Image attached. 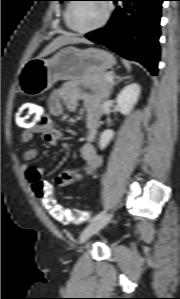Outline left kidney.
I'll list each match as a JSON object with an SVG mask.
<instances>
[{
    "label": "left kidney",
    "mask_w": 180,
    "mask_h": 299,
    "mask_svg": "<svg viewBox=\"0 0 180 299\" xmlns=\"http://www.w3.org/2000/svg\"><path fill=\"white\" fill-rule=\"evenodd\" d=\"M140 96V86L132 83L124 87L117 96V106L120 113L128 115L133 109L134 105L138 102ZM114 137L112 130H105L99 140V146L104 149Z\"/></svg>",
    "instance_id": "5707ae66"
}]
</instances>
